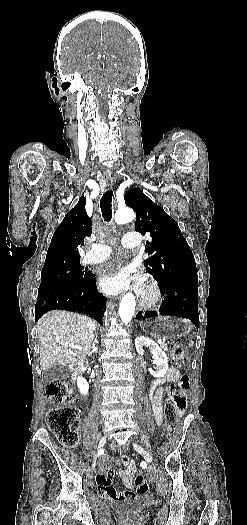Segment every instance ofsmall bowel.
Returning a JSON list of instances; mask_svg holds the SVG:
<instances>
[{"instance_id":"c3829d8e","label":"small bowel","mask_w":247,"mask_h":525,"mask_svg":"<svg viewBox=\"0 0 247 525\" xmlns=\"http://www.w3.org/2000/svg\"><path fill=\"white\" fill-rule=\"evenodd\" d=\"M181 376L182 375L180 371L176 368H170L166 374V378L170 382H178ZM163 396L164 392L161 387L156 388L151 393L152 406L157 422H161L162 420ZM117 463L119 466H121L120 476L123 484L127 489L117 494V490L115 489L114 485L111 484V481H113L114 479L113 475H117L119 473V470L117 468H113L111 470L112 474H105L103 472H100L96 475L97 481L93 487V490L95 493L102 494V496L104 497H114V501L116 503H121L122 501L131 500L134 497V493L132 491V476L136 473L137 466L133 460L126 456L121 457V459Z\"/></svg>"}]
</instances>
